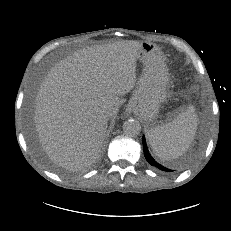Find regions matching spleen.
Returning a JSON list of instances; mask_svg holds the SVG:
<instances>
[{"label": "spleen", "instance_id": "3e777b00", "mask_svg": "<svg viewBox=\"0 0 231 231\" xmlns=\"http://www.w3.org/2000/svg\"><path fill=\"white\" fill-rule=\"evenodd\" d=\"M197 115L194 106L179 113L172 121L148 131V140L154 154L162 160L181 156L194 140Z\"/></svg>", "mask_w": 231, "mask_h": 231}]
</instances>
